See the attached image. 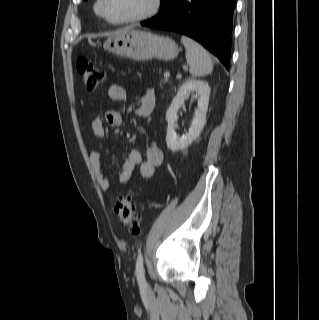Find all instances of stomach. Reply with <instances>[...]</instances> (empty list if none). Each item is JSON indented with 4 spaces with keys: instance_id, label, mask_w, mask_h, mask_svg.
<instances>
[{
    "instance_id": "obj_1",
    "label": "stomach",
    "mask_w": 319,
    "mask_h": 320,
    "mask_svg": "<svg viewBox=\"0 0 319 320\" xmlns=\"http://www.w3.org/2000/svg\"><path fill=\"white\" fill-rule=\"evenodd\" d=\"M108 51L136 61L157 58L171 61L178 56L176 42L148 31L126 29L109 37L104 43Z\"/></svg>"
}]
</instances>
